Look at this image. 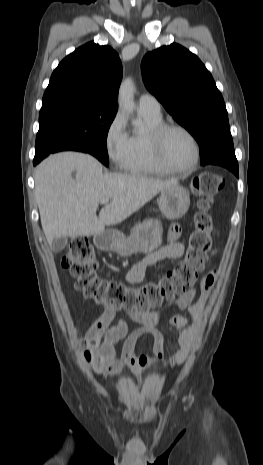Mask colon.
<instances>
[{
    "label": "colon",
    "instance_id": "colon-1",
    "mask_svg": "<svg viewBox=\"0 0 263 465\" xmlns=\"http://www.w3.org/2000/svg\"><path fill=\"white\" fill-rule=\"evenodd\" d=\"M224 185V178L215 173L204 172L194 177L191 189L198 198L200 211L194 218V230L189 237L185 257L158 281L147 282L140 287H129L118 281L102 279L97 274L99 262L95 250L85 238L73 239L68 244L62 258V266L70 271L76 279V288L88 298L109 307L137 313L157 308L164 302L184 294L195 284L211 249L212 234L215 230L207 210ZM173 325L184 328L186 318L181 315L175 316ZM82 343L86 348L93 349L100 343V336L90 332ZM85 356L89 361L93 359L90 350L86 351Z\"/></svg>",
    "mask_w": 263,
    "mask_h": 465
}]
</instances>
